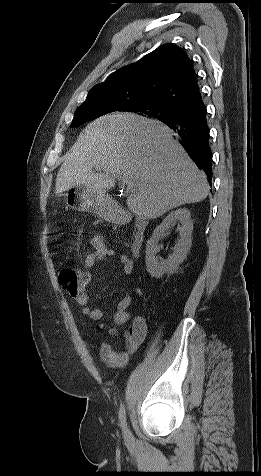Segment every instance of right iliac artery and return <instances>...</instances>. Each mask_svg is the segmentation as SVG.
I'll return each mask as SVG.
<instances>
[{"instance_id": "82829eb1", "label": "right iliac artery", "mask_w": 261, "mask_h": 476, "mask_svg": "<svg viewBox=\"0 0 261 476\" xmlns=\"http://www.w3.org/2000/svg\"><path fill=\"white\" fill-rule=\"evenodd\" d=\"M119 419L121 426L125 428L126 426V413H125V406L121 405L120 410H119Z\"/></svg>"}]
</instances>
